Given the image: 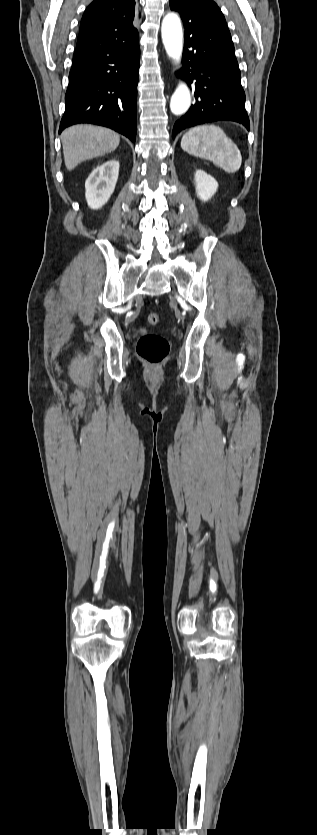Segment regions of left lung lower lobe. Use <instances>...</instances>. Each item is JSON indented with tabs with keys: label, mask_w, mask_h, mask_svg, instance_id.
<instances>
[{
	"label": "left lung lower lobe",
	"mask_w": 317,
	"mask_h": 835,
	"mask_svg": "<svg viewBox=\"0 0 317 835\" xmlns=\"http://www.w3.org/2000/svg\"><path fill=\"white\" fill-rule=\"evenodd\" d=\"M184 67L180 76L195 85V104L174 125L172 137L186 128L221 120L235 121L249 130L245 93L227 27L195 22L184 32Z\"/></svg>",
	"instance_id": "0a47b994"
}]
</instances>
